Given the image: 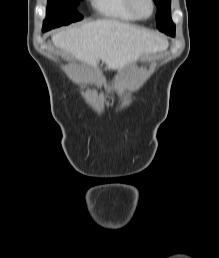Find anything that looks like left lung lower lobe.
<instances>
[{
	"mask_svg": "<svg viewBox=\"0 0 219 258\" xmlns=\"http://www.w3.org/2000/svg\"><path fill=\"white\" fill-rule=\"evenodd\" d=\"M167 35L174 36V35H175V33H169V34H167Z\"/></svg>",
	"mask_w": 219,
	"mask_h": 258,
	"instance_id": "1",
	"label": "left lung lower lobe"
}]
</instances>
